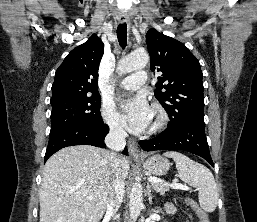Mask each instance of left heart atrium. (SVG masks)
<instances>
[{
	"instance_id": "39dd6f15",
	"label": "left heart atrium",
	"mask_w": 257,
	"mask_h": 222,
	"mask_svg": "<svg viewBox=\"0 0 257 222\" xmlns=\"http://www.w3.org/2000/svg\"><path fill=\"white\" fill-rule=\"evenodd\" d=\"M126 128L135 134L144 132L150 125L153 112L144 95L139 94L121 104Z\"/></svg>"
}]
</instances>
